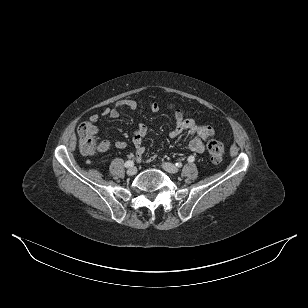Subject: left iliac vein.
Returning a JSON list of instances; mask_svg holds the SVG:
<instances>
[{
  "label": "left iliac vein",
  "mask_w": 308,
  "mask_h": 308,
  "mask_svg": "<svg viewBox=\"0 0 308 308\" xmlns=\"http://www.w3.org/2000/svg\"><path fill=\"white\" fill-rule=\"evenodd\" d=\"M162 168L168 173L175 174L178 172V168L171 163H163Z\"/></svg>",
  "instance_id": "1"
}]
</instances>
